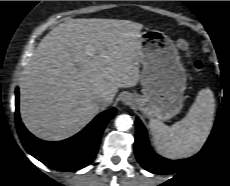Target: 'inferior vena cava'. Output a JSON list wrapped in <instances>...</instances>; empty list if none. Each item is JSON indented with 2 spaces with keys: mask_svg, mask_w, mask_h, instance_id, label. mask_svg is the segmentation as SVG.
<instances>
[{
  "mask_svg": "<svg viewBox=\"0 0 230 186\" xmlns=\"http://www.w3.org/2000/svg\"><path fill=\"white\" fill-rule=\"evenodd\" d=\"M98 103L101 104V105H105V104H108L111 99L107 96H99L98 99H97Z\"/></svg>",
  "mask_w": 230,
  "mask_h": 186,
  "instance_id": "1",
  "label": "inferior vena cava"
}]
</instances>
